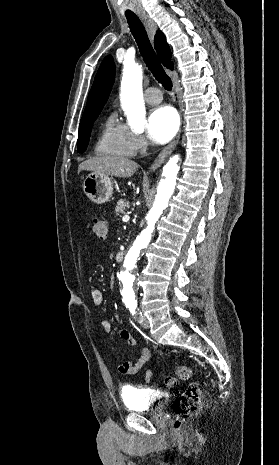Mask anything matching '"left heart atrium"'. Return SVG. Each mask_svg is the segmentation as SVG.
Returning <instances> with one entry per match:
<instances>
[{
    "label": "left heart atrium",
    "mask_w": 279,
    "mask_h": 465,
    "mask_svg": "<svg viewBox=\"0 0 279 465\" xmlns=\"http://www.w3.org/2000/svg\"><path fill=\"white\" fill-rule=\"evenodd\" d=\"M178 125L176 112L169 106H160L149 115L147 134L153 142L163 144L174 137Z\"/></svg>",
    "instance_id": "obj_1"
}]
</instances>
